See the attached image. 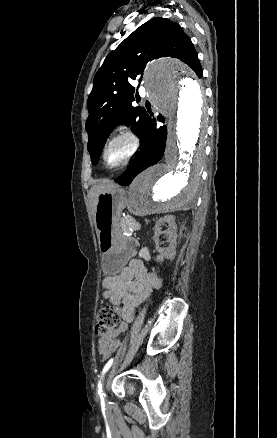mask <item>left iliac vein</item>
<instances>
[{"label": "left iliac vein", "mask_w": 277, "mask_h": 438, "mask_svg": "<svg viewBox=\"0 0 277 438\" xmlns=\"http://www.w3.org/2000/svg\"><path fill=\"white\" fill-rule=\"evenodd\" d=\"M107 374H108V373H107ZM106 376H107V375H106ZM105 380H106V377H104L103 380H102V387H103V390H102V393H101V400H104V401H106V393H105V389H104Z\"/></svg>", "instance_id": "1"}]
</instances>
